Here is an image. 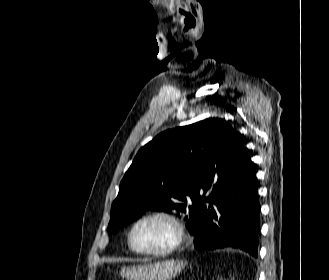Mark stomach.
I'll return each instance as SVG.
<instances>
[{
    "label": "stomach",
    "instance_id": "obj_1",
    "mask_svg": "<svg viewBox=\"0 0 329 280\" xmlns=\"http://www.w3.org/2000/svg\"><path fill=\"white\" fill-rule=\"evenodd\" d=\"M187 263L179 260L124 266L120 275L127 280H171L181 273Z\"/></svg>",
    "mask_w": 329,
    "mask_h": 280
}]
</instances>
